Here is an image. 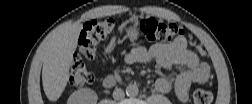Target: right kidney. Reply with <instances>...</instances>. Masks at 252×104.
Masks as SVG:
<instances>
[{
    "instance_id": "obj_1",
    "label": "right kidney",
    "mask_w": 252,
    "mask_h": 104,
    "mask_svg": "<svg viewBox=\"0 0 252 104\" xmlns=\"http://www.w3.org/2000/svg\"><path fill=\"white\" fill-rule=\"evenodd\" d=\"M97 95L91 89H80L75 91L68 98L69 104H95L97 102Z\"/></svg>"
}]
</instances>
